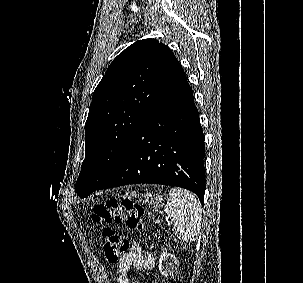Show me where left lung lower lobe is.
<instances>
[{
  "label": "left lung lower lobe",
  "instance_id": "left-lung-lower-lobe-1",
  "mask_svg": "<svg viewBox=\"0 0 303 283\" xmlns=\"http://www.w3.org/2000/svg\"><path fill=\"white\" fill-rule=\"evenodd\" d=\"M204 136L193 92L176 59L111 177L96 190L128 184L186 188L204 202Z\"/></svg>",
  "mask_w": 303,
  "mask_h": 283
}]
</instances>
